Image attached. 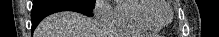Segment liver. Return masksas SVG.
Here are the masks:
<instances>
[{"label":"liver","instance_id":"obj_1","mask_svg":"<svg viewBox=\"0 0 219 37\" xmlns=\"http://www.w3.org/2000/svg\"><path fill=\"white\" fill-rule=\"evenodd\" d=\"M100 24L77 12L54 13L41 21L34 37H101Z\"/></svg>","mask_w":219,"mask_h":37}]
</instances>
